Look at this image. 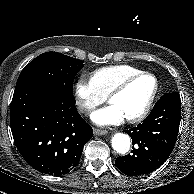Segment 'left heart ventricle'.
Segmentation results:
<instances>
[{
    "label": "left heart ventricle",
    "mask_w": 194,
    "mask_h": 194,
    "mask_svg": "<svg viewBox=\"0 0 194 194\" xmlns=\"http://www.w3.org/2000/svg\"><path fill=\"white\" fill-rule=\"evenodd\" d=\"M155 87L152 77L144 76L133 81L120 95L110 102L124 119L140 113L148 102Z\"/></svg>",
    "instance_id": "1"
}]
</instances>
